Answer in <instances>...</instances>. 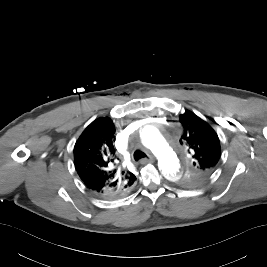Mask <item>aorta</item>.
<instances>
[{
  "instance_id": "1",
  "label": "aorta",
  "mask_w": 267,
  "mask_h": 267,
  "mask_svg": "<svg viewBox=\"0 0 267 267\" xmlns=\"http://www.w3.org/2000/svg\"><path fill=\"white\" fill-rule=\"evenodd\" d=\"M142 143L151 149L158 159L159 169L169 181L177 182L181 178L180 161L157 128L146 126L141 135Z\"/></svg>"
}]
</instances>
